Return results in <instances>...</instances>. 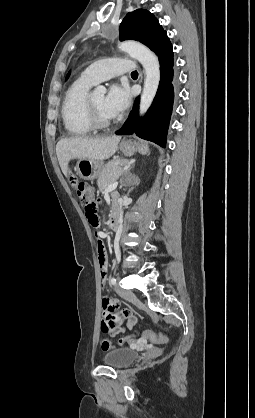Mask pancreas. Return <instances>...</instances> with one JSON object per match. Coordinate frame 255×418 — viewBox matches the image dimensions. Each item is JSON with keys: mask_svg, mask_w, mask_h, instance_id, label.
Returning <instances> with one entry per match:
<instances>
[{"mask_svg": "<svg viewBox=\"0 0 255 418\" xmlns=\"http://www.w3.org/2000/svg\"><path fill=\"white\" fill-rule=\"evenodd\" d=\"M128 160L126 159H113L109 161L102 169L98 176L97 185L100 192H104L105 189L115 182V180L122 174L123 165H126Z\"/></svg>", "mask_w": 255, "mask_h": 418, "instance_id": "cf45deb5", "label": "pancreas"}]
</instances>
